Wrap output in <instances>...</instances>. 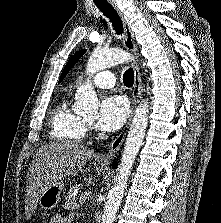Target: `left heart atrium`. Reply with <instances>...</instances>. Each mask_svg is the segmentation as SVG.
<instances>
[{"mask_svg": "<svg viewBox=\"0 0 221 223\" xmlns=\"http://www.w3.org/2000/svg\"><path fill=\"white\" fill-rule=\"evenodd\" d=\"M129 113L128 103L122 96H107L103 99L98 118V128L105 132L118 130Z\"/></svg>", "mask_w": 221, "mask_h": 223, "instance_id": "1", "label": "left heart atrium"}]
</instances>
